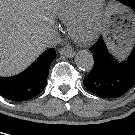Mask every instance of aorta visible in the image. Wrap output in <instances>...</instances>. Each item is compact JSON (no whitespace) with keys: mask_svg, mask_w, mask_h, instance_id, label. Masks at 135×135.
I'll return each instance as SVG.
<instances>
[{"mask_svg":"<svg viewBox=\"0 0 135 135\" xmlns=\"http://www.w3.org/2000/svg\"><path fill=\"white\" fill-rule=\"evenodd\" d=\"M76 65L83 71H90L94 65L93 55L87 50H81L75 57Z\"/></svg>","mask_w":135,"mask_h":135,"instance_id":"1","label":"aorta"}]
</instances>
